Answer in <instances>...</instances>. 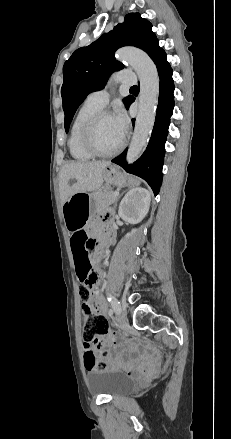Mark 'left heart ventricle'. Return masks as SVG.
<instances>
[{
  "label": "left heart ventricle",
  "instance_id": "obj_1",
  "mask_svg": "<svg viewBox=\"0 0 231 439\" xmlns=\"http://www.w3.org/2000/svg\"><path fill=\"white\" fill-rule=\"evenodd\" d=\"M94 141L102 151L113 150L121 143L122 139L112 116H105L98 122L94 132Z\"/></svg>",
  "mask_w": 231,
  "mask_h": 439
}]
</instances>
